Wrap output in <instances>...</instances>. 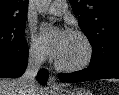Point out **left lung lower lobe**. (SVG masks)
Instances as JSON below:
<instances>
[{
  "label": "left lung lower lobe",
  "mask_w": 119,
  "mask_h": 95,
  "mask_svg": "<svg viewBox=\"0 0 119 95\" xmlns=\"http://www.w3.org/2000/svg\"><path fill=\"white\" fill-rule=\"evenodd\" d=\"M59 79L63 82H83L88 80L119 78V54L114 55L109 62L103 66L89 67L73 73H59Z\"/></svg>",
  "instance_id": "0a47b994"
}]
</instances>
